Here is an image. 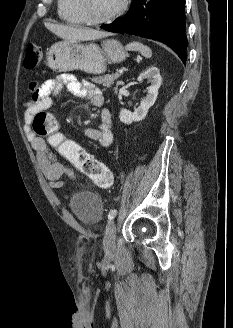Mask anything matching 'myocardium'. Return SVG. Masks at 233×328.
I'll use <instances>...</instances> for the list:
<instances>
[{
	"instance_id": "f54148a6",
	"label": "myocardium",
	"mask_w": 233,
	"mask_h": 328,
	"mask_svg": "<svg viewBox=\"0 0 233 328\" xmlns=\"http://www.w3.org/2000/svg\"><path fill=\"white\" fill-rule=\"evenodd\" d=\"M77 3V7L81 14L84 17V20L87 24L90 25H102L109 23L116 18L120 17L127 9L128 7V0H122L118 8H116L113 12L110 14L102 17V18H94L92 17L89 12H88V7H87V0H75Z\"/></svg>"
}]
</instances>
